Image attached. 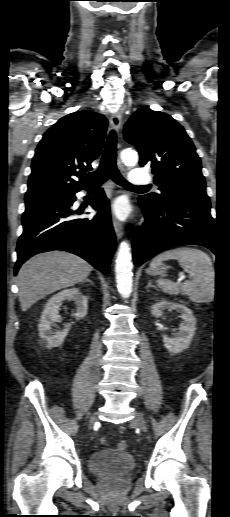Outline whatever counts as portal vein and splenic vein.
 <instances>
[{
	"label": "portal vein and splenic vein",
	"instance_id": "obj_1",
	"mask_svg": "<svg viewBox=\"0 0 230 517\" xmlns=\"http://www.w3.org/2000/svg\"><path fill=\"white\" fill-rule=\"evenodd\" d=\"M185 278H186V277H185V275H184V274H180V275H179V279H178V281L180 282V281L184 280Z\"/></svg>",
	"mask_w": 230,
	"mask_h": 517
}]
</instances>
